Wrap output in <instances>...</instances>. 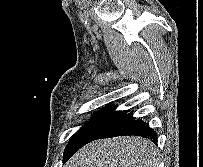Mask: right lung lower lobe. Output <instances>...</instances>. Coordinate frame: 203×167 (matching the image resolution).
<instances>
[{
	"label": "right lung lower lobe",
	"mask_w": 203,
	"mask_h": 167,
	"mask_svg": "<svg viewBox=\"0 0 203 167\" xmlns=\"http://www.w3.org/2000/svg\"><path fill=\"white\" fill-rule=\"evenodd\" d=\"M136 135L144 138L152 139L154 143H157V134L153 129L149 127L147 123L142 120H134L132 112L125 115V117L119 121L114 127H112L104 135L96 138H111L116 136ZM71 153H68L65 149L64 162L71 157Z\"/></svg>",
	"instance_id": "right-lung-lower-lobe-1"
}]
</instances>
